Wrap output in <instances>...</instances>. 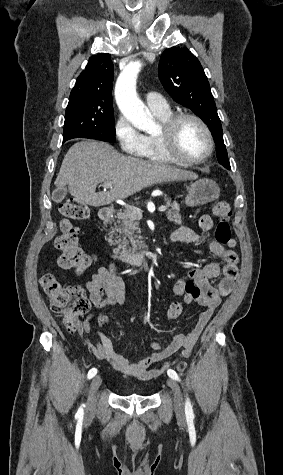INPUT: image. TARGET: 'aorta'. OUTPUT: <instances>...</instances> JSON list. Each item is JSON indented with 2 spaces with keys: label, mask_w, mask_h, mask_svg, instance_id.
Here are the masks:
<instances>
[{
  "label": "aorta",
  "mask_w": 283,
  "mask_h": 475,
  "mask_svg": "<svg viewBox=\"0 0 283 475\" xmlns=\"http://www.w3.org/2000/svg\"><path fill=\"white\" fill-rule=\"evenodd\" d=\"M141 68V63H129L117 78L115 85V99L121 113L135 127L152 133L156 131L157 125L149 109L138 98L136 92V80Z\"/></svg>",
  "instance_id": "obj_1"
}]
</instances>
